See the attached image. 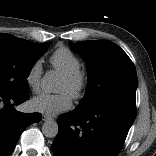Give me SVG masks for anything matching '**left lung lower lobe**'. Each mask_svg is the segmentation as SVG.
I'll return each mask as SVG.
<instances>
[{"instance_id":"left-lung-lower-lobe-1","label":"left lung lower lobe","mask_w":156,"mask_h":156,"mask_svg":"<svg viewBox=\"0 0 156 156\" xmlns=\"http://www.w3.org/2000/svg\"><path fill=\"white\" fill-rule=\"evenodd\" d=\"M136 117V108L106 104L73 110L57 120L55 156H117Z\"/></svg>"}]
</instances>
